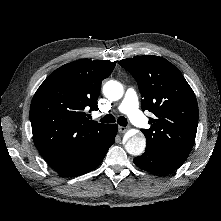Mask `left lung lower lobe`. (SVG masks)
<instances>
[{
  "label": "left lung lower lobe",
  "instance_id": "obj_1",
  "mask_svg": "<svg viewBox=\"0 0 221 221\" xmlns=\"http://www.w3.org/2000/svg\"><path fill=\"white\" fill-rule=\"evenodd\" d=\"M133 161L139 168L145 171L165 174L178 169L185 162V158L153 149H146L144 154L136 157Z\"/></svg>",
  "mask_w": 221,
  "mask_h": 221
}]
</instances>
